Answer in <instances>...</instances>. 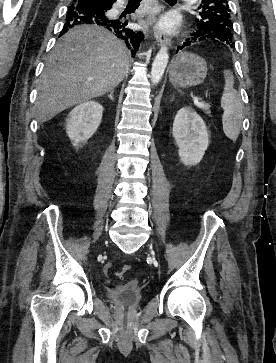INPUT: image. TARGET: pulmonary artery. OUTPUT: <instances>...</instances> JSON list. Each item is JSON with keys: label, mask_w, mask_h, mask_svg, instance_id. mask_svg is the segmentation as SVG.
<instances>
[{"label": "pulmonary artery", "mask_w": 276, "mask_h": 363, "mask_svg": "<svg viewBox=\"0 0 276 363\" xmlns=\"http://www.w3.org/2000/svg\"><path fill=\"white\" fill-rule=\"evenodd\" d=\"M183 1H194V0H183Z\"/></svg>", "instance_id": "pulmonary-artery-1"}]
</instances>
